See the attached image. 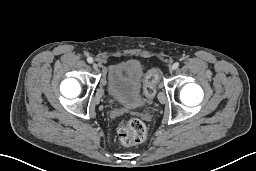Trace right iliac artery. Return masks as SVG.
I'll list each match as a JSON object with an SVG mask.
<instances>
[{
	"mask_svg": "<svg viewBox=\"0 0 256 171\" xmlns=\"http://www.w3.org/2000/svg\"><path fill=\"white\" fill-rule=\"evenodd\" d=\"M87 61H88V63L91 64V63H93V58H92V57H88V58H87Z\"/></svg>",
	"mask_w": 256,
	"mask_h": 171,
	"instance_id": "1",
	"label": "right iliac artery"
}]
</instances>
